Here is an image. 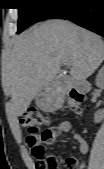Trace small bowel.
Here are the masks:
<instances>
[{"mask_svg": "<svg viewBox=\"0 0 104 169\" xmlns=\"http://www.w3.org/2000/svg\"><path fill=\"white\" fill-rule=\"evenodd\" d=\"M59 132H71V140L77 144L80 153L85 154L88 152L89 146L85 138L80 133L74 131L73 124L71 122L69 121L60 122L56 127V133ZM56 136L57 134L53 138H45L44 142L52 143ZM78 169H83V164H80Z\"/></svg>", "mask_w": 104, "mask_h": 169, "instance_id": "obj_1", "label": "small bowel"}]
</instances>
